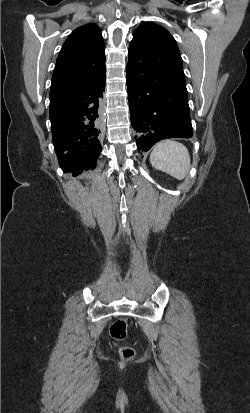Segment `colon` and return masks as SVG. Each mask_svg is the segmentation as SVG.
<instances>
[{
  "instance_id": "colon-1",
  "label": "colon",
  "mask_w": 250,
  "mask_h": 413,
  "mask_svg": "<svg viewBox=\"0 0 250 413\" xmlns=\"http://www.w3.org/2000/svg\"><path fill=\"white\" fill-rule=\"evenodd\" d=\"M127 321L123 318L117 319L110 328V335L115 341H123L127 336ZM119 355L123 361H130L135 357V350L127 345L118 348Z\"/></svg>"
}]
</instances>
